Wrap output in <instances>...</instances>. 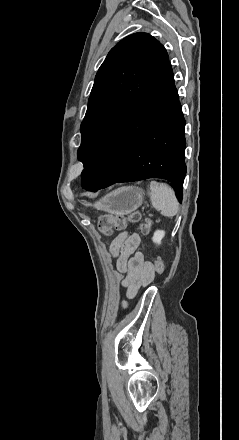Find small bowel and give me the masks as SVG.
I'll return each instance as SVG.
<instances>
[{
    "label": "small bowel",
    "mask_w": 239,
    "mask_h": 440,
    "mask_svg": "<svg viewBox=\"0 0 239 440\" xmlns=\"http://www.w3.org/2000/svg\"><path fill=\"white\" fill-rule=\"evenodd\" d=\"M140 237L137 233L122 232L110 244V253L116 269L125 275L122 285L126 288L127 297L133 298L141 287L152 282L155 275L154 265L144 260L137 251Z\"/></svg>",
    "instance_id": "c3829d8e"
}]
</instances>
